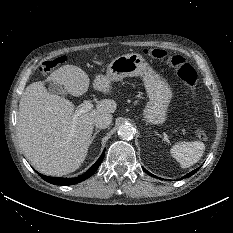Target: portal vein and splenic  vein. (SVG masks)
<instances>
[{"label":"portal vein and splenic vein","instance_id":"18ae733b","mask_svg":"<svg viewBox=\"0 0 233 233\" xmlns=\"http://www.w3.org/2000/svg\"><path fill=\"white\" fill-rule=\"evenodd\" d=\"M92 108H93V104L92 103L85 102L83 104V107H81L80 109L76 110L75 116H80L81 114L86 113V112L92 110Z\"/></svg>","mask_w":233,"mask_h":233}]
</instances>
